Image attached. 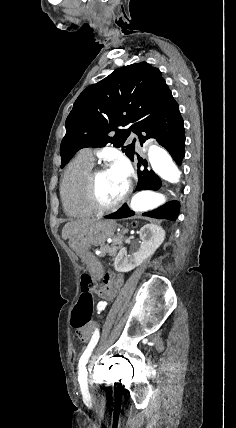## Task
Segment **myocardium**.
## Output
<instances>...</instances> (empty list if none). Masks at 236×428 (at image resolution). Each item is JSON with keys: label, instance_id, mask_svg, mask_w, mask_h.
<instances>
[{"label": "myocardium", "instance_id": "obj_1", "mask_svg": "<svg viewBox=\"0 0 236 428\" xmlns=\"http://www.w3.org/2000/svg\"><path fill=\"white\" fill-rule=\"evenodd\" d=\"M113 169L112 164H103L95 169L88 175L85 185V192L88 203L92 208L97 211H111L120 208L122 205L126 203V201L130 198L133 192V172L130 168L127 169L129 175L128 187L124 193V195L113 203H106L101 200L98 190L97 184L100 177L108 170Z\"/></svg>", "mask_w": 236, "mask_h": 428}]
</instances>
